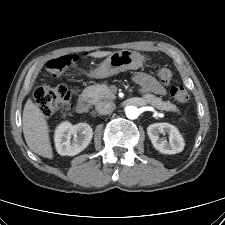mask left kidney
<instances>
[{
	"mask_svg": "<svg viewBox=\"0 0 225 225\" xmlns=\"http://www.w3.org/2000/svg\"><path fill=\"white\" fill-rule=\"evenodd\" d=\"M148 136L159 152L163 154H176L184 149V140L178 129L169 123H154L147 127ZM168 134L169 141L160 138V134Z\"/></svg>",
	"mask_w": 225,
	"mask_h": 225,
	"instance_id": "obj_1",
	"label": "left kidney"
}]
</instances>
